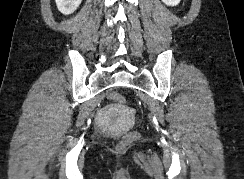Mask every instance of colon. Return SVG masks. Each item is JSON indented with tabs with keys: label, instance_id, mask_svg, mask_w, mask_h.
Returning a JSON list of instances; mask_svg holds the SVG:
<instances>
[{
	"label": "colon",
	"instance_id": "colon-1",
	"mask_svg": "<svg viewBox=\"0 0 244 179\" xmlns=\"http://www.w3.org/2000/svg\"><path fill=\"white\" fill-rule=\"evenodd\" d=\"M110 98L114 101L123 102V93H110ZM135 134L131 133L130 137H121V142H118V151L123 152V147H130V142H134Z\"/></svg>",
	"mask_w": 244,
	"mask_h": 179
}]
</instances>
